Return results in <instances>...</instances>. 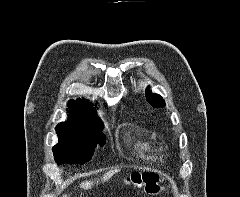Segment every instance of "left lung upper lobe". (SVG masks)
Segmentation results:
<instances>
[{
    "label": "left lung upper lobe",
    "mask_w": 240,
    "mask_h": 197,
    "mask_svg": "<svg viewBox=\"0 0 240 197\" xmlns=\"http://www.w3.org/2000/svg\"><path fill=\"white\" fill-rule=\"evenodd\" d=\"M146 99L147 101L155 108L157 107H164L165 101L163 100V98L158 95V94H152L149 92L148 88L146 89Z\"/></svg>",
    "instance_id": "5c2ea615"
}]
</instances>
